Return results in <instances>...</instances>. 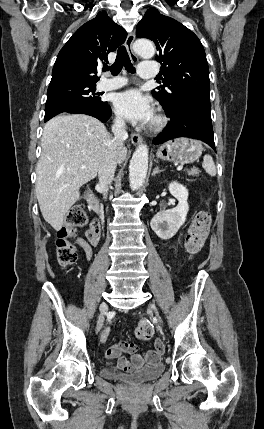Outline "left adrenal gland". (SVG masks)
Here are the masks:
<instances>
[{"mask_svg":"<svg viewBox=\"0 0 264 429\" xmlns=\"http://www.w3.org/2000/svg\"><path fill=\"white\" fill-rule=\"evenodd\" d=\"M163 170H160L158 166H156L152 172V176H155L156 174L162 172Z\"/></svg>","mask_w":264,"mask_h":429,"instance_id":"1","label":"left adrenal gland"}]
</instances>
